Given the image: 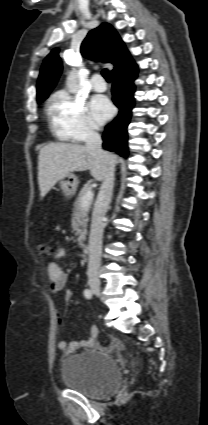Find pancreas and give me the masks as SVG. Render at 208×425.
Instances as JSON below:
<instances>
[{
    "label": "pancreas",
    "mask_w": 208,
    "mask_h": 425,
    "mask_svg": "<svg viewBox=\"0 0 208 425\" xmlns=\"http://www.w3.org/2000/svg\"><path fill=\"white\" fill-rule=\"evenodd\" d=\"M91 189L90 185H85L74 203L72 228L76 231V235H79L78 244L81 247L84 246L83 242L87 235L88 213L92 204L91 200L85 206H82V201L85 193L91 191Z\"/></svg>",
    "instance_id": "1"
}]
</instances>
